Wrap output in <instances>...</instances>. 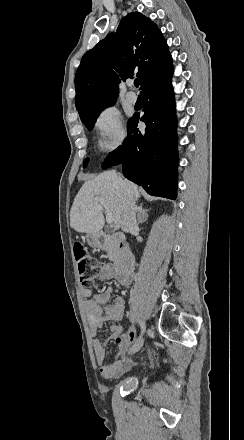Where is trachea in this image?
<instances>
[{
  "instance_id": "3493384b",
  "label": "trachea",
  "mask_w": 244,
  "mask_h": 440,
  "mask_svg": "<svg viewBox=\"0 0 244 440\" xmlns=\"http://www.w3.org/2000/svg\"><path fill=\"white\" fill-rule=\"evenodd\" d=\"M139 84H140V80H134V85H135L136 87H138Z\"/></svg>"
}]
</instances>
